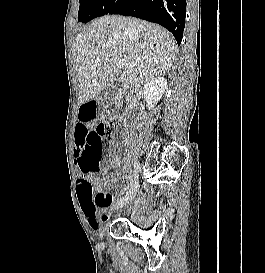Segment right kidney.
Wrapping results in <instances>:
<instances>
[{
    "label": "right kidney",
    "mask_w": 265,
    "mask_h": 273,
    "mask_svg": "<svg viewBox=\"0 0 265 273\" xmlns=\"http://www.w3.org/2000/svg\"><path fill=\"white\" fill-rule=\"evenodd\" d=\"M166 88L167 79L164 77L152 79L144 85L143 95L149 110H152L155 107V104L161 99Z\"/></svg>",
    "instance_id": "obj_1"
}]
</instances>
